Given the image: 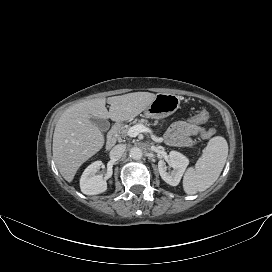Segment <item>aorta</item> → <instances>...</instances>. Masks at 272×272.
<instances>
[{"label": "aorta", "instance_id": "1", "mask_svg": "<svg viewBox=\"0 0 272 272\" xmlns=\"http://www.w3.org/2000/svg\"><path fill=\"white\" fill-rule=\"evenodd\" d=\"M129 155L131 158L135 159V160H139L142 158L143 156V152L140 148L138 147H133L130 149L129 151Z\"/></svg>", "mask_w": 272, "mask_h": 272}]
</instances>
